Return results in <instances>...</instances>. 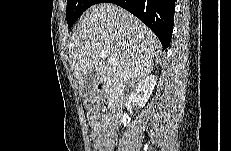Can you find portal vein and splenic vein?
Listing matches in <instances>:
<instances>
[{
    "mask_svg": "<svg viewBox=\"0 0 231 151\" xmlns=\"http://www.w3.org/2000/svg\"><path fill=\"white\" fill-rule=\"evenodd\" d=\"M101 57L102 58H107V52H105V51H102L101 52ZM108 60V62L110 63V64H112V65H116L117 63L115 62V60H113V59H107Z\"/></svg>",
    "mask_w": 231,
    "mask_h": 151,
    "instance_id": "obj_1",
    "label": "portal vein and splenic vein"
}]
</instances>
